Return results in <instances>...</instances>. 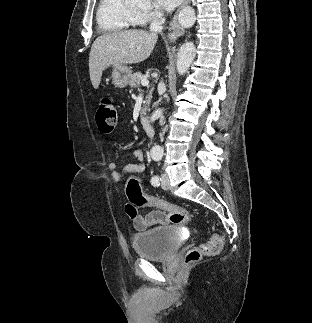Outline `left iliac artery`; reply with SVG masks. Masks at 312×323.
Returning a JSON list of instances; mask_svg holds the SVG:
<instances>
[{
	"mask_svg": "<svg viewBox=\"0 0 312 323\" xmlns=\"http://www.w3.org/2000/svg\"><path fill=\"white\" fill-rule=\"evenodd\" d=\"M160 179L161 178H159V176H157V175H154L153 177H152V179H151V183H152V185L153 186H159L160 185Z\"/></svg>",
	"mask_w": 312,
	"mask_h": 323,
	"instance_id": "44dca946",
	"label": "left iliac artery"
}]
</instances>
